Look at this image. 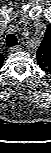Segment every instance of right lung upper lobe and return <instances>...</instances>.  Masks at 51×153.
<instances>
[{"instance_id":"obj_1","label":"right lung upper lobe","mask_w":51,"mask_h":153,"mask_svg":"<svg viewBox=\"0 0 51 153\" xmlns=\"http://www.w3.org/2000/svg\"><path fill=\"white\" fill-rule=\"evenodd\" d=\"M3 61H4V56L2 54H0V68L3 64Z\"/></svg>"}]
</instances>
